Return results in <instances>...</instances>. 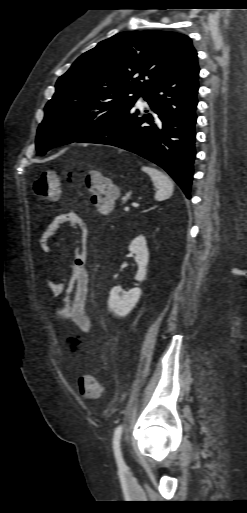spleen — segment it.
Listing matches in <instances>:
<instances>
[{
	"label": "spleen",
	"mask_w": 247,
	"mask_h": 513,
	"mask_svg": "<svg viewBox=\"0 0 247 513\" xmlns=\"http://www.w3.org/2000/svg\"><path fill=\"white\" fill-rule=\"evenodd\" d=\"M142 171L151 177L152 182L156 186L155 199L157 201H163L172 196L174 184L168 175L148 166H143Z\"/></svg>",
	"instance_id": "1"
}]
</instances>
